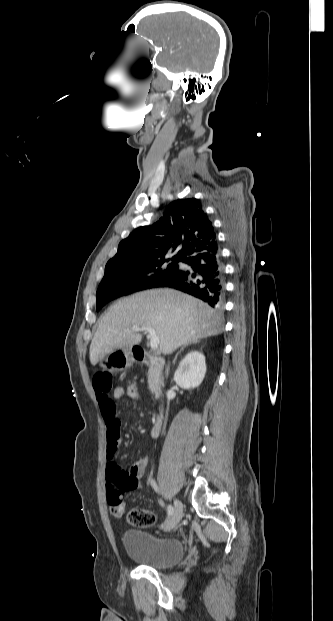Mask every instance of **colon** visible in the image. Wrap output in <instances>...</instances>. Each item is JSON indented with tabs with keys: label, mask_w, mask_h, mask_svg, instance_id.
<instances>
[{
	"label": "colon",
	"mask_w": 333,
	"mask_h": 621,
	"mask_svg": "<svg viewBox=\"0 0 333 621\" xmlns=\"http://www.w3.org/2000/svg\"><path fill=\"white\" fill-rule=\"evenodd\" d=\"M123 389L124 398L132 402H136L140 399V390L136 382H129ZM107 476L113 484L121 490L129 491L133 488L134 482L130 474L122 470L115 462L109 463ZM110 511L114 516L120 517L124 513V508L113 507ZM127 520L129 524L134 527H149L155 523V515L149 510L136 508L128 512Z\"/></svg>",
	"instance_id": "1"
}]
</instances>
